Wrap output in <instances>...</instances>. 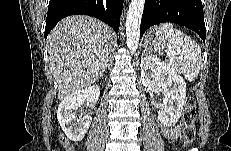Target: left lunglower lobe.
I'll list each match as a JSON object with an SVG mask.
<instances>
[{"instance_id": "1", "label": "left lung lower lobe", "mask_w": 231, "mask_h": 151, "mask_svg": "<svg viewBox=\"0 0 231 151\" xmlns=\"http://www.w3.org/2000/svg\"><path fill=\"white\" fill-rule=\"evenodd\" d=\"M172 22L195 31L205 43L206 28L201 0H145L140 37L151 26Z\"/></svg>"}]
</instances>
